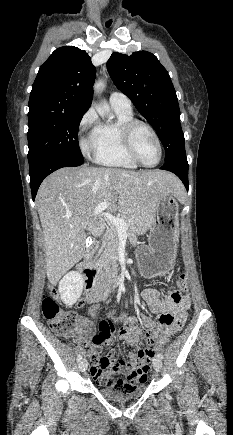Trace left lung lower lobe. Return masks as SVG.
<instances>
[{
    "label": "left lung lower lobe",
    "instance_id": "left-lung-lower-lobe-1",
    "mask_svg": "<svg viewBox=\"0 0 233 435\" xmlns=\"http://www.w3.org/2000/svg\"><path fill=\"white\" fill-rule=\"evenodd\" d=\"M160 169L176 174L188 190V162L185 154L178 155L174 159L167 161Z\"/></svg>",
    "mask_w": 233,
    "mask_h": 435
}]
</instances>
